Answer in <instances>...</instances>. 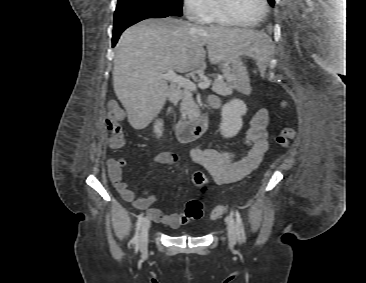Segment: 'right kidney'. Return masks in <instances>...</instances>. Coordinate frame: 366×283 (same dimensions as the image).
<instances>
[{"label": "right kidney", "mask_w": 366, "mask_h": 283, "mask_svg": "<svg viewBox=\"0 0 366 283\" xmlns=\"http://www.w3.org/2000/svg\"><path fill=\"white\" fill-rule=\"evenodd\" d=\"M162 128L163 122L161 120H157L154 124V132L157 134L158 137L162 136Z\"/></svg>", "instance_id": "obj_1"}]
</instances>
